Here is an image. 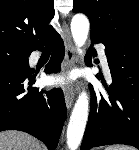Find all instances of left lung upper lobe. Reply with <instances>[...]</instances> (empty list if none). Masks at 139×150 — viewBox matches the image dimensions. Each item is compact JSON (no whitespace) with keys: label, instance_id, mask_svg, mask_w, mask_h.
I'll return each mask as SVG.
<instances>
[{"label":"left lung upper lobe","instance_id":"left-lung-upper-lobe-1","mask_svg":"<svg viewBox=\"0 0 139 150\" xmlns=\"http://www.w3.org/2000/svg\"><path fill=\"white\" fill-rule=\"evenodd\" d=\"M73 12L87 15L90 35L107 48L139 34V0H74Z\"/></svg>","mask_w":139,"mask_h":150}]
</instances>
